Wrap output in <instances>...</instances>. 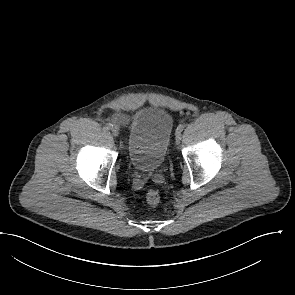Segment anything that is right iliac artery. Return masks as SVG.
<instances>
[{
  "instance_id": "obj_1",
  "label": "right iliac artery",
  "mask_w": 295,
  "mask_h": 295,
  "mask_svg": "<svg viewBox=\"0 0 295 295\" xmlns=\"http://www.w3.org/2000/svg\"><path fill=\"white\" fill-rule=\"evenodd\" d=\"M113 128V125L111 124V123H108L107 125H106V129L107 130H110V129H112Z\"/></svg>"
}]
</instances>
